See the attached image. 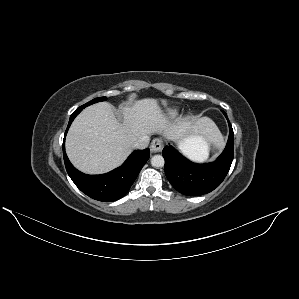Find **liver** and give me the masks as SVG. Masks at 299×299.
I'll list each match as a JSON object with an SVG mask.
<instances>
[{"instance_id":"liver-1","label":"liver","mask_w":299,"mask_h":299,"mask_svg":"<svg viewBox=\"0 0 299 299\" xmlns=\"http://www.w3.org/2000/svg\"><path fill=\"white\" fill-rule=\"evenodd\" d=\"M120 123L109 103L85 108L73 121L66 137V153L71 163L87 174H102L120 166L130 155L133 144L155 133L178 139L189 130L184 123L172 124L157 99L145 98L122 109ZM195 134L220 140L221 133L204 120L192 127Z\"/></svg>"}]
</instances>
